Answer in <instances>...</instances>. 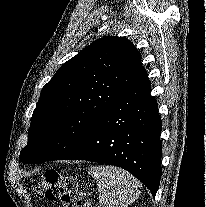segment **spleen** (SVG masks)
<instances>
[{
    "instance_id": "spleen-1",
    "label": "spleen",
    "mask_w": 206,
    "mask_h": 207,
    "mask_svg": "<svg viewBox=\"0 0 206 207\" xmlns=\"http://www.w3.org/2000/svg\"><path fill=\"white\" fill-rule=\"evenodd\" d=\"M88 174L95 178L102 207H128L140 194V183L128 172L115 166H93Z\"/></svg>"
}]
</instances>
